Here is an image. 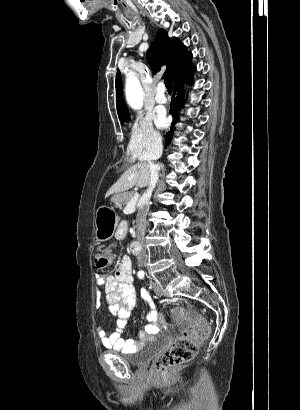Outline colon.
<instances>
[{
	"instance_id": "1",
	"label": "colon",
	"mask_w": 300,
	"mask_h": 410,
	"mask_svg": "<svg viewBox=\"0 0 300 410\" xmlns=\"http://www.w3.org/2000/svg\"><path fill=\"white\" fill-rule=\"evenodd\" d=\"M114 262V254L110 248L97 253L94 264L98 269H106ZM186 313V315H185ZM174 324L185 329L184 335L178 338L168 350L161 354L155 362L156 372L162 377L178 367L190 362L196 355L198 348L210 335L209 324L199 317L192 308L175 307L172 309Z\"/></svg>"
}]
</instances>
